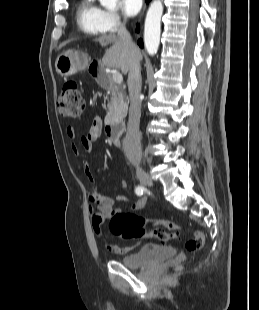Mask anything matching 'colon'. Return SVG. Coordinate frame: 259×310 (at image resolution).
<instances>
[{
  "mask_svg": "<svg viewBox=\"0 0 259 310\" xmlns=\"http://www.w3.org/2000/svg\"><path fill=\"white\" fill-rule=\"evenodd\" d=\"M58 112L67 118H78L84 111V100L80 86L75 81L66 82L57 99ZM159 227L146 230L145 225ZM167 230H165L164 228ZM110 232L123 240L155 238L166 242L179 239L180 224L166 220H150L132 212H117L110 218ZM204 243V237L197 231L185 243L188 252H196Z\"/></svg>",
  "mask_w": 259,
  "mask_h": 310,
  "instance_id": "obj_1",
  "label": "colon"
}]
</instances>
